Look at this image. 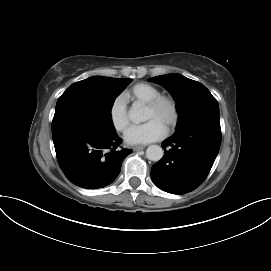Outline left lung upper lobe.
<instances>
[{"label": "left lung upper lobe", "instance_id": "left-lung-upper-lobe-1", "mask_svg": "<svg viewBox=\"0 0 271 271\" xmlns=\"http://www.w3.org/2000/svg\"><path fill=\"white\" fill-rule=\"evenodd\" d=\"M174 97L178 111L176 130L200 121H220L217 100L201 83L180 74L151 78Z\"/></svg>", "mask_w": 271, "mask_h": 271}]
</instances>
